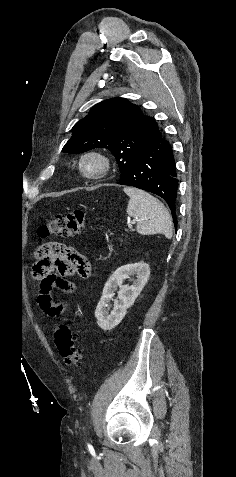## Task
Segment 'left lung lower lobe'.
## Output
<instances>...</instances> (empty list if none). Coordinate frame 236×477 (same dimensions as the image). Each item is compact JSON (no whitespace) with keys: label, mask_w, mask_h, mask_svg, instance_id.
<instances>
[{"label":"left lung lower lobe","mask_w":236,"mask_h":477,"mask_svg":"<svg viewBox=\"0 0 236 477\" xmlns=\"http://www.w3.org/2000/svg\"><path fill=\"white\" fill-rule=\"evenodd\" d=\"M118 184L133 186L163 198L174 225L176 220L177 172L172 147L157 131L151 142L133 159L128 173Z\"/></svg>","instance_id":"1"}]
</instances>
